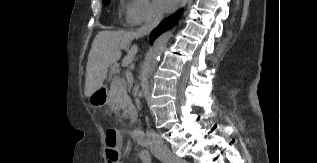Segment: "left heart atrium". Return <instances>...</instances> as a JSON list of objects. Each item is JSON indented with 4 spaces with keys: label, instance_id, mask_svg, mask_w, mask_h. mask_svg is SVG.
I'll list each match as a JSON object with an SVG mask.
<instances>
[{
    "label": "left heart atrium",
    "instance_id": "obj_1",
    "mask_svg": "<svg viewBox=\"0 0 317 163\" xmlns=\"http://www.w3.org/2000/svg\"><path fill=\"white\" fill-rule=\"evenodd\" d=\"M179 1L180 0H155L157 6L166 12L173 10Z\"/></svg>",
    "mask_w": 317,
    "mask_h": 163
}]
</instances>
